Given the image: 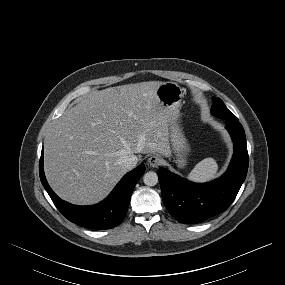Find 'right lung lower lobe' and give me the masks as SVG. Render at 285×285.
I'll return each mask as SVG.
<instances>
[{
	"instance_id": "obj_1",
	"label": "right lung lower lobe",
	"mask_w": 285,
	"mask_h": 285,
	"mask_svg": "<svg viewBox=\"0 0 285 285\" xmlns=\"http://www.w3.org/2000/svg\"><path fill=\"white\" fill-rule=\"evenodd\" d=\"M145 165L128 172L110 195L101 203L92 206H76L61 200L48 185L43 170V149L39 163L41 182L58 210L71 222L90 229H109L124 219L130 197L136 183L143 175Z\"/></svg>"
}]
</instances>
